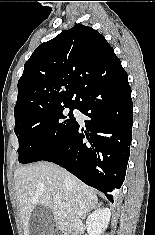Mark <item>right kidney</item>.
<instances>
[{
    "label": "right kidney",
    "mask_w": 155,
    "mask_h": 235,
    "mask_svg": "<svg viewBox=\"0 0 155 235\" xmlns=\"http://www.w3.org/2000/svg\"><path fill=\"white\" fill-rule=\"evenodd\" d=\"M111 212L108 208H99L90 214L86 220L89 235H102L108 227Z\"/></svg>",
    "instance_id": "ca27d5eb"
}]
</instances>
